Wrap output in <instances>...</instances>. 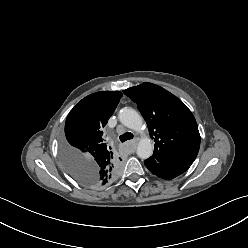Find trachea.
Here are the masks:
<instances>
[{
    "instance_id": "trachea-1",
    "label": "trachea",
    "mask_w": 248,
    "mask_h": 248,
    "mask_svg": "<svg viewBox=\"0 0 248 248\" xmlns=\"http://www.w3.org/2000/svg\"><path fill=\"white\" fill-rule=\"evenodd\" d=\"M133 138V134L131 132H126L122 135H120L119 139L121 142H125L127 140H130Z\"/></svg>"
}]
</instances>
